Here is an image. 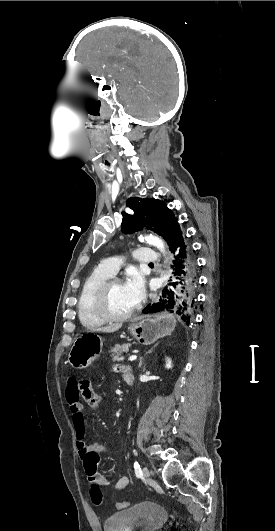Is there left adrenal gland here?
<instances>
[{
    "instance_id": "obj_1",
    "label": "left adrenal gland",
    "mask_w": 275,
    "mask_h": 531,
    "mask_svg": "<svg viewBox=\"0 0 275 531\" xmlns=\"http://www.w3.org/2000/svg\"><path fill=\"white\" fill-rule=\"evenodd\" d=\"M156 345H158V343H156ZM156 345H154V347H156ZM151 351H152V349H150V351H148V353H151ZM139 361H140V363H139L138 367L140 369V367L142 365L143 357H140Z\"/></svg>"
}]
</instances>
